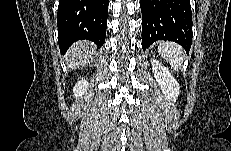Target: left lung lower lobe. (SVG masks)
<instances>
[{"instance_id":"1","label":"left lung lower lobe","mask_w":231,"mask_h":151,"mask_svg":"<svg viewBox=\"0 0 231 151\" xmlns=\"http://www.w3.org/2000/svg\"><path fill=\"white\" fill-rule=\"evenodd\" d=\"M142 12V48L157 40L180 44L187 52L192 44L190 0H140Z\"/></svg>"}]
</instances>
